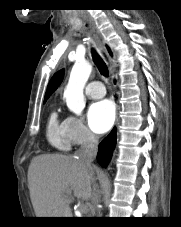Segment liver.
I'll use <instances>...</instances> for the list:
<instances>
[{"label":"liver","mask_w":181,"mask_h":227,"mask_svg":"<svg viewBox=\"0 0 181 227\" xmlns=\"http://www.w3.org/2000/svg\"><path fill=\"white\" fill-rule=\"evenodd\" d=\"M94 168L71 155L42 154L28 170L31 202L37 217H71V193L89 200Z\"/></svg>","instance_id":"6515ba94"}]
</instances>
